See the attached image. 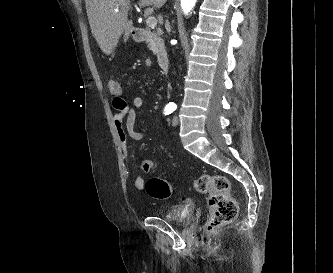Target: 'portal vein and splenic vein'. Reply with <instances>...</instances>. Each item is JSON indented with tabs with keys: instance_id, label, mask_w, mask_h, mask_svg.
Here are the masks:
<instances>
[{
	"instance_id": "obj_1",
	"label": "portal vein and splenic vein",
	"mask_w": 333,
	"mask_h": 273,
	"mask_svg": "<svg viewBox=\"0 0 333 273\" xmlns=\"http://www.w3.org/2000/svg\"><path fill=\"white\" fill-rule=\"evenodd\" d=\"M115 11H117V9H115ZM146 24L148 25V27L150 28H154L156 27L157 25V20L155 17L153 16H149L147 19H146Z\"/></svg>"
}]
</instances>
